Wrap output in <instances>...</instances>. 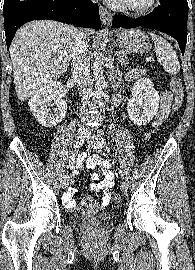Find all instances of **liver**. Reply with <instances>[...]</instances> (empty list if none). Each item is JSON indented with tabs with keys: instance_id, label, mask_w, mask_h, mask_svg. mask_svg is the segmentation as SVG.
Returning a JSON list of instances; mask_svg holds the SVG:
<instances>
[{
	"instance_id": "liver-1",
	"label": "liver",
	"mask_w": 195,
	"mask_h": 270,
	"mask_svg": "<svg viewBox=\"0 0 195 270\" xmlns=\"http://www.w3.org/2000/svg\"><path fill=\"white\" fill-rule=\"evenodd\" d=\"M78 32L73 26L51 20L32 21L17 31L10 55L19 100L29 99L66 72Z\"/></svg>"
}]
</instances>
